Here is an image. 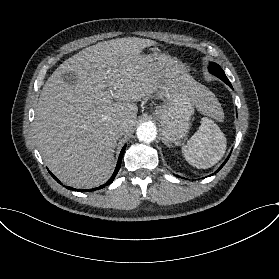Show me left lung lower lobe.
<instances>
[{
	"mask_svg": "<svg viewBox=\"0 0 279 279\" xmlns=\"http://www.w3.org/2000/svg\"><path fill=\"white\" fill-rule=\"evenodd\" d=\"M230 87L232 88L231 85H230ZM229 156H228V158H229ZM228 158L225 160V162L220 166V168L215 173H217L225 165V163L227 162ZM210 176H212V174Z\"/></svg>",
	"mask_w": 279,
	"mask_h": 279,
	"instance_id": "left-lung-lower-lobe-1",
	"label": "left lung lower lobe"
}]
</instances>
